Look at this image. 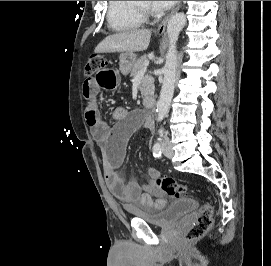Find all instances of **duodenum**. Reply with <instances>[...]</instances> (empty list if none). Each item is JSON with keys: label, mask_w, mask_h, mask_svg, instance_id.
<instances>
[{"label": "duodenum", "mask_w": 271, "mask_h": 266, "mask_svg": "<svg viewBox=\"0 0 271 266\" xmlns=\"http://www.w3.org/2000/svg\"><path fill=\"white\" fill-rule=\"evenodd\" d=\"M144 103L148 108L154 109L156 106V99L153 96H146L144 98Z\"/></svg>", "instance_id": "1"}]
</instances>
